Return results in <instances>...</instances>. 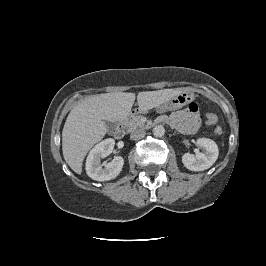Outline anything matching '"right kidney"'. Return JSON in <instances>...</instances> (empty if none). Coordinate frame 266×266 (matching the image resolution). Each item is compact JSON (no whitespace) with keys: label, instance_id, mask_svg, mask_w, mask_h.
<instances>
[{"label":"right kidney","instance_id":"1","mask_svg":"<svg viewBox=\"0 0 266 266\" xmlns=\"http://www.w3.org/2000/svg\"><path fill=\"white\" fill-rule=\"evenodd\" d=\"M114 139H106L98 143L89 153L86 160V173L96 181H108L119 175L124 159L120 156L106 164H101L100 159L107 157L113 150Z\"/></svg>","mask_w":266,"mask_h":266}]
</instances>
